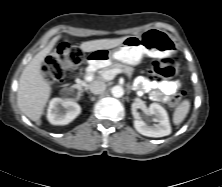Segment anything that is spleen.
<instances>
[{
  "label": "spleen",
  "instance_id": "1",
  "mask_svg": "<svg viewBox=\"0 0 222 187\" xmlns=\"http://www.w3.org/2000/svg\"><path fill=\"white\" fill-rule=\"evenodd\" d=\"M190 109V101H182L175 109L173 113V123L179 125L184 121Z\"/></svg>",
  "mask_w": 222,
  "mask_h": 187
}]
</instances>
